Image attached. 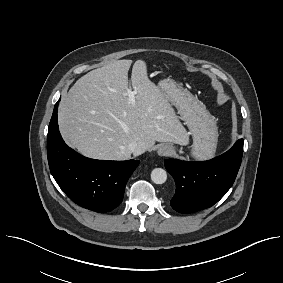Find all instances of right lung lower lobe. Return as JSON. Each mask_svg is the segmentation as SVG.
<instances>
[{"label":"right lung lower lobe","instance_id":"1","mask_svg":"<svg viewBox=\"0 0 283 283\" xmlns=\"http://www.w3.org/2000/svg\"><path fill=\"white\" fill-rule=\"evenodd\" d=\"M58 102L47 135L51 174L64 193L79 206L109 212L122 202L126 183L140 161L94 160L69 148L58 128Z\"/></svg>","mask_w":283,"mask_h":283}]
</instances>
